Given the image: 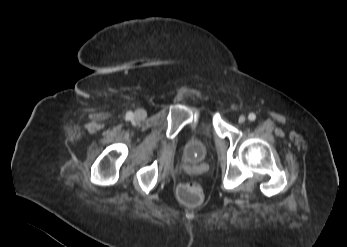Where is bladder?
Wrapping results in <instances>:
<instances>
[{"label": "bladder", "mask_w": 347, "mask_h": 247, "mask_svg": "<svg viewBox=\"0 0 347 247\" xmlns=\"http://www.w3.org/2000/svg\"><path fill=\"white\" fill-rule=\"evenodd\" d=\"M212 109L201 112L197 131L184 144V158L191 164L204 161L213 145L215 129Z\"/></svg>", "instance_id": "obj_1"}]
</instances>
